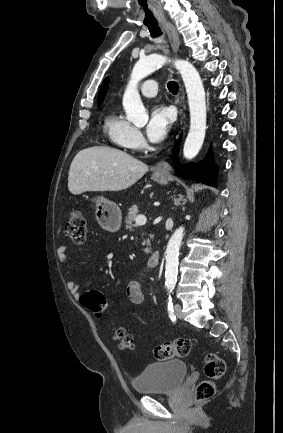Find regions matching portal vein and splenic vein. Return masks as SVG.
Wrapping results in <instances>:
<instances>
[{
  "label": "portal vein and splenic vein",
  "mask_w": 283,
  "mask_h": 433,
  "mask_svg": "<svg viewBox=\"0 0 283 433\" xmlns=\"http://www.w3.org/2000/svg\"><path fill=\"white\" fill-rule=\"evenodd\" d=\"M146 221H147V219H146V217H144V214H138V217H136L135 223H136V225H143V223L145 225Z\"/></svg>",
  "instance_id": "1"
}]
</instances>
